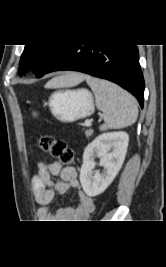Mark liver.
Here are the masks:
<instances>
[{"label": "liver", "instance_id": "1", "mask_svg": "<svg viewBox=\"0 0 166 267\" xmlns=\"http://www.w3.org/2000/svg\"><path fill=\"white\" fill-rule=\"evenodd\" d=\"M87 76L81 73H68L56 78H53L49 81L45 88H58V87H72L80 84Z\"/></svg>", "mask_w": 166, "mask_h": 267}]
</instances>
